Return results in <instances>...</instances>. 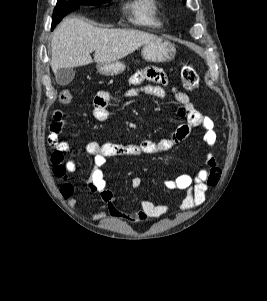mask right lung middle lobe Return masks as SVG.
Wrapping results in <instances>:
<instances>
[{"label":"right lung middle lobe","instance_id":"dd1d6c3e","mask_svg":"<svg viewBox=\"0 0 267 301\" xmlns=\"http://www.w3.org/2000/svg\"><path fill=\"white\" fill-rule=\"evenodd\" d=\"M111 0H58L53 12L52 29L69 12L76 10L80 5H101Z\"/></svg>","mask_w":267,"mask_h":301}]
</instances>
